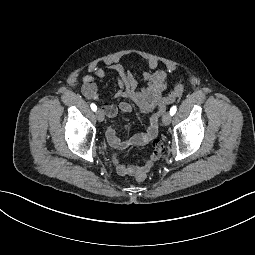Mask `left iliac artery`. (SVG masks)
<instances>
[{
  "instance_id": "obj_1",
  "label": "left iliac artery",
  "mask_w": 255,
  "mask_h": 255,
  "mask_svg": "<svg viewBox=\"0 0 255 255\" xmlns=\"http://www.w3.org/2000/svg\"><path fill=\"white\" fill-rule=\"evenodd\" d=\"M176 110H177L176 106H173V107L170 109V114H171V116L174 115V114L176 113Z\"/></svg>"
}]
</instances>
